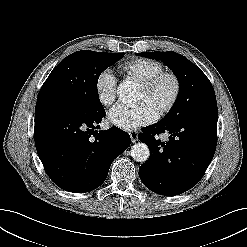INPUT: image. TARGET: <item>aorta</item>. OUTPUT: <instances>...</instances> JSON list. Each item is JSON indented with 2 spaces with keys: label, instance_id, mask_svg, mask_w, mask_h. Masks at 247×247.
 Returning <instances> with one entry per match:
<instances>
[{
  "label": "aorta",
  "instance_id": "aorta-1",
  "mask_svg": "<svg viewBox=\"0 0 247 247\" xmlns=\"http://www.w3.org/2000/svg\"><path fill=\"white\" fill-rule=\"evenodd\" d=\"M117 95L119 100L126 104L136 99L137 89L135 85L127 82L120 83L117 87ZM132 158L137 162H145L150 156V151L145 143H135L130 150Z\"/></svg>",
  "mask_w": 247,
  "mask_h": 247
}]
</instances>
